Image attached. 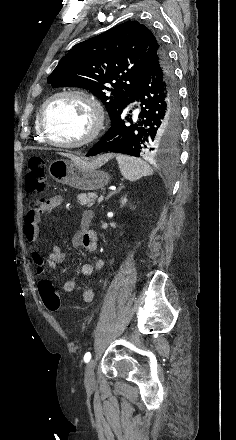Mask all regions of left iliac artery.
<instances>
[{
  "instance_id": "left-iliac-artery-1",
  "label": "left iliac artery",
  "mask_w": 236,
  "mask_h": 440,
  "mask_svg": "<svg viewBox=\"0 0 236 440\" xmlns=\"http://www.w3.org/2000/svg\"><path fill=\"white\" fill-rule=\"evenodd\" d=\"M90 359H91V353H90V352H87V353L84 355V361H85V363H88V362L90 361Z\"/></svg>"
}]
</instances>
